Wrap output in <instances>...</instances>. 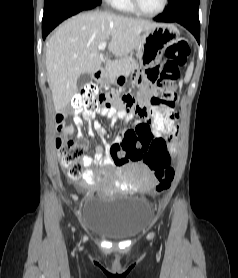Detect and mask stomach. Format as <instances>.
<instances>
[{
  "label": "stomach",
  "mask_w": 238,
  "mask_h": 278,
  "mask_svg": "<svg viewBox=\"0 0 238 278\" xmlns=\"http://www.w3.org/2000/svg\"><path fill=\"white\" fill-rule=\"evenodd\" d=\"M179 39V30L172 24H157L142 34V40L138 49V59L142 67H150V64H158L166 48L175 44ZM131 78L130 74H119L116 78V86H125ZM96 81L100 84L111 83L107 73H103Z\"/></svg>",
  "instance_id": "0dacf381"
}]
</instances>
